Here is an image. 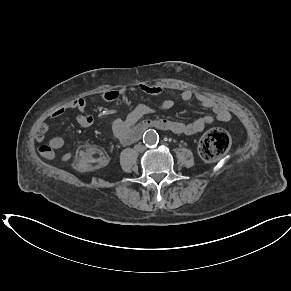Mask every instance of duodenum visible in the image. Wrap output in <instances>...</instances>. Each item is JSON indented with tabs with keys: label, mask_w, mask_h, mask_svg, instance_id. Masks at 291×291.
<instances>
[{
	"label": "duodenum",
	"mask_w": 291,
	"mask_h": 291,
	"mask_svg": "<svg viewBox=\"0 0 291 291\" xmlns=\"http://www.w3.org/2000/svg\"><path fill=\"white\" fill-rule=\"evenodd\" d=\"M150 128H153V127H151L150 125H147V126L144 127V129H145L146 131H147L148 129H150ZM143 134H144V133H143ZM143 134H142V135H143Z\"/></svg>",
	"instance_id": "obj_1"
}]
</instances>
